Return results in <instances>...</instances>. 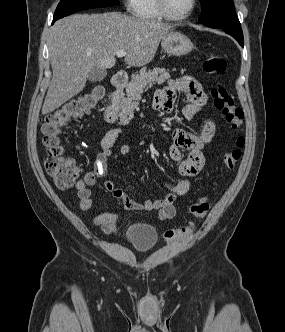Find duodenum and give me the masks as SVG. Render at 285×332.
I'll list each match as a JSON object with an SVG mask.
<instances>
[{"mask_svg": "<svg viewBox=\"0 0 285 332\" xmlns=\"http://www.w3.org/2000/svg\"><path fill=\"white\" fill-rule=\"evenodd\" d=\"M127 80V75L124 72L116 73L112 79L113 90L108 94V101L103 107V117L108 123H115L117 120L114 102L119 92L126 86Z\"/></svg>", "mask_w": 285, "mask_h": 332, "instance_id": "1", "label": "duodenum"}]
</instances>
